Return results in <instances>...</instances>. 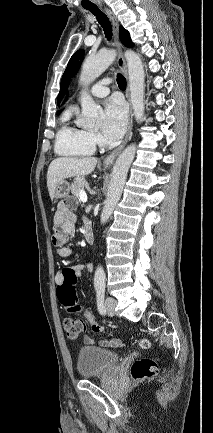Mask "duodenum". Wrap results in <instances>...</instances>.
I'll return each mask as SVG.
<instances>
[{
	"label": "duodenum",
	"mask_w": 213,
	"mask_h": 433,
	"mask_svg": "<svg viewBox=\"0 0 213 433\" xmlns=\"http://www.w3.org/2000/svg\"><path fill=\"white\" fill-rule=\"evenodd\" d=\"M84 237L88 244L94 243V235L89 226H85L84 228Z\"/></svg>",
	"instance_id": "obj_1"
}]
</instances>
